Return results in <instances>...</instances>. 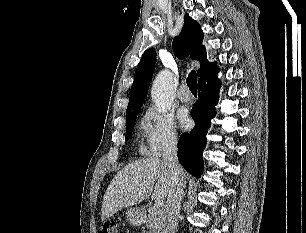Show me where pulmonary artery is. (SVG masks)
<instances>
[{"mask_svg": "<svg viewBox=\"0 0 306 233\" xmlns=\"http://www.w3.org/2000/svg\"><path fill=\"white\" fill-rule=\"evenodd\" d=\"M177 97L182 102H188L191 99V94L189 93L186 85H182L179 88L177 92Z\"/></svg>", "mask_w": 306, "mask_h": 233, "instance_id": "pulmonary-artery-1", "label": "pulmonary artery"}]
</instances>
